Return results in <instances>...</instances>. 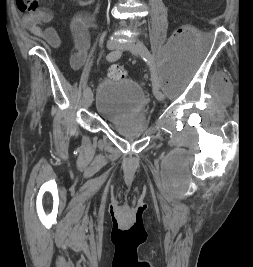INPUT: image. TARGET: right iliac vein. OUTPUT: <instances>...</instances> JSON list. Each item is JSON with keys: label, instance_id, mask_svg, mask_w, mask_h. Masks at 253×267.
Segmentation results:
<instances>
[{"label": "right iliac vein", "instance_id": "obj_1", "mask_svg": "<svg viewBox=\"0 0 253 267\" xmlns=\"http://www.w3.org/2000/svg\"><path fill=\"white\" fill-rule=\"evenodd\" d=\"M119 45H120L119 42L116 40H110L107 42V48L109 50H114V49L118 48ZM84 96H85V106L89 107L92 103V100H93V94L90 91Z\"/></svg>", "mask_w": 253, "mask_h": 267}]
</instances>
